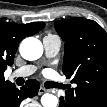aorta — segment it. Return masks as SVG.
<instances>
[{
  "label": "aorta",
  "mask_w": 107,
  "mask_h": 107,
  "mask_svg": "<svg viewBox=\"0 0 107 107\" xmlns=\"http://www.w3.org/2000/svg\"><path fill=\"white\" fill-rule=\"evenodd\" d=\"M20 54L26 60H37L43 54V45L37 38H26L20 44ZM41 104L43 107H56L58 98L53 94L46 93L41 97Z\"/></svg>",
  "instance_id": "aorta-1"
}]
</instances>
